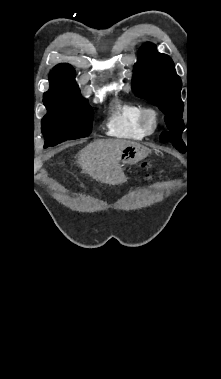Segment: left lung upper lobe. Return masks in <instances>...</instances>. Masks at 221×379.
Here are the masks:
<instances>
[{"label":"left lung upper lobe","mask_w":221,"mask_h":379,"mask_svg":"<svg viewBox=\"0 0 221 379\" xmlns=\"http://www.w3.org/2000/svg\"><path fill=\"white\" fill-rule=\"evenodd\" d=\"M133 68L132 88L135 94L156 105L164 114L169 131L161 134L162 142H171L180 152L187 147L182 140L184 104L180 97L182 82L172 59L157 52L154 44L143 45Z\"/></svg>","instance_id":"obj_1"}]
</instances>
